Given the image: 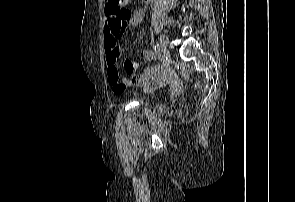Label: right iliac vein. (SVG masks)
<instances>
[{"instance_id":"1","label":"right iliac vein","mask_w":295,"mask_h":202,"mask_svg":"<svg viewBox=\"0 0 295 202\" xmlns=\"http://www.w3.org/2000/svg\"><path fill=\"white\" fill-rule=\"evenodd\" d=\"M162 49L166 52L168 48V37L165 34L160 35L159 38Z\"/></svg>"}]
</instances>
